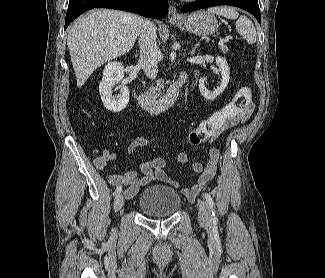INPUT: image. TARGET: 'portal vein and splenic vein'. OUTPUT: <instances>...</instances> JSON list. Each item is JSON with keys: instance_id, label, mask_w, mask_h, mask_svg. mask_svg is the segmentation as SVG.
<instances>
[{"instance_id": "1", "label": "portal vein and splenic vein", "mask_w": 325, "mask_h": 278, "mask_svg": "<svg viewBox=\"0 0 325 278\" xmlns=\"http://www.w3.org/2000/svg\"><path fill=\"white\" fill-rule=\"evenodd\" d=\"M225 39L224 38H220L219 42H218V45L221 46V45H224L225 43Z\"/></svg>"}]
</instances>
